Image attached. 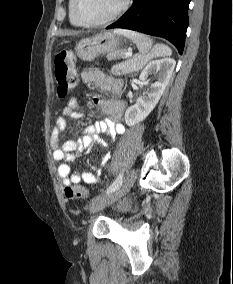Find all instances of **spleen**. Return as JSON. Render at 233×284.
Wrapping results in <instances>:
<instances>
[{
    "instance_id": "1",
    "label": "spleen",
    "mask_w": 233,
    "mask_h": 284,
    "mask_svg": "<svg viewBox=\"0 0 233 284\" xmlns=\"http://www.w3.org/2000/svg\"><path fill=\"white\" fill-rule=\"evenodd\" d=\"M116 32L133 41V43L137 46L139 53L146 60L154 57L171 55L172 53L171 49L167 45L159 43L153 46L152 39L142 33L131 30H117Z\"/></svg>"
}]
</instances>
